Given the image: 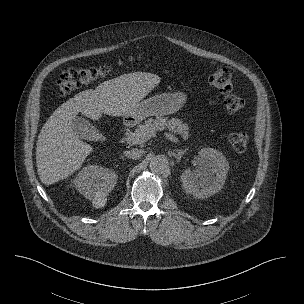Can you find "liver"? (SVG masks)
<instances>
[{"label": "liver", "instance_id": "liver-1", "mask_svg": "<svg viewBox=\"0 0 304 304\" xmlns=\"http://www.w3.org/2000/svg\"><path fill=\"white\" fill-rule=\"evenodd\" d=\"M161 82L152 73L134 72L104 81L64 102L49 117L37 140L36 165L41 182L54 184L80 169L93 148L74 132L78 113L98 120L102 114L130 117L134 107Z\"/></svg>", "mask_w": 304, "mask_h": 304}]
</instances>
